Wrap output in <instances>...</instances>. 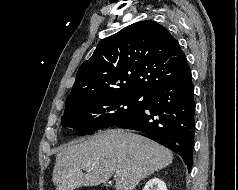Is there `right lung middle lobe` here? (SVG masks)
Listing matches in <instances>:
<instances>
[{"label":"right lung middle lobe","mask_w":238,"mask_h":190,"mask_svg":"<svg viewBox=\"0 0 238 190\" xmlns=\"http://www.w3.org/2000/svg\"><path fill=\"white\" fill-rule=\"evenodd\" d=\"M143 96V100L139 99ZM147 96L137 93L82 95L74 99L61 118L64 127L81 134L112 127L144 107Z\"/></svg>","instance_id":"1"}]
</instances>
